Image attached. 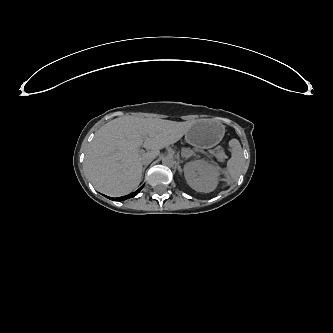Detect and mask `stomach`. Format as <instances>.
Segmentation results:
<instances>
[{
  "mask_svg": "<svg viewBox=\"0 0 333 333\" xmlns=\"http://www.w3.org/2000/svg\"><path fill=\"white\" fill-rule=\"evenodd\" d=\"M187 141H188V143L189 144H191V145H196V144H198L191 136H188L187 137Z\"/></svg>",
  "mask_w": 333,
  "mask_h": 333,
  "instance_id": "obj_1",
  "label": "stomach"
}]
</instances>
